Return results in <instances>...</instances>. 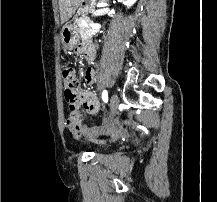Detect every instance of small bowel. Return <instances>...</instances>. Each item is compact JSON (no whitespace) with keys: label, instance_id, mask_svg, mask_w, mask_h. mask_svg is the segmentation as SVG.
<instances>
[{"label":"small bowel","instance_id":"c3829d8e","mask_svg":"<svg viewBox=\"0 0 217 202\" xmlns=\"http://www.w3.org/2000/svg\"><path fill=\"white\" fill-rule=\"evenodd\" d=\"M87 50H85V48ZM88 53L89 59H93L95 57V46L91 42L84 43L82 47L79 49V54L84 55ZM85 81L87 84H92L96 77V72L92 68H88L85 72ZM86 112L92 116H96L101 111V105L93 92H88L84 97V102L82 104ZM69 116H76V121H73L78 127L74 135L79 137L80 135H88L89 137L95 139L96 141H104V140H114L119 131H81V126H87L81 123V114L79 110H71ZM99 136H104L105 139H99Z\"/></svg>","mask_w":217,"mask_h":202}]
</instances>
